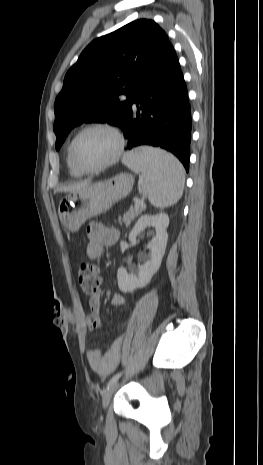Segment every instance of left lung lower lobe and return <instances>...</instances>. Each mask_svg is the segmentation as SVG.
Wrapping results in <instances>:
<instances>
[{
  "instance_id": "1",
  "label": "left lung lower lobe",
  "mask_w": 263,
  "mask_h": 465,
  "mask_svg": "<svg viewBox=\"0 0 263 465\" xmlns=\"http://www.w3.org/2000/svg\"><path fill=\"white\" fill-rule=\"evenodd\" d=\"M133 103L139 104L137 112ZM191 112L176 53L167 43L132 89L131 106L121 128L127 149L152 145L172 152L189 170Z\"/></svg>"
}]
</instances>
